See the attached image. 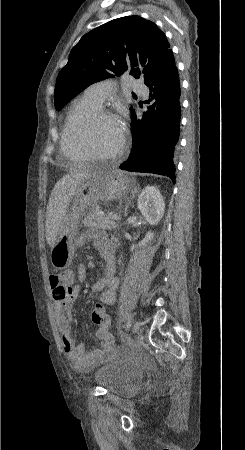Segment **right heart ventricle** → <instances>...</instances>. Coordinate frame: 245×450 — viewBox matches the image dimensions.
Here are the masks:
<instances>
[{
  "mask_svg": "<svg viewBox=\"0 0 245 450\" xmlns=\"http://www.w3.org/2000/svg\"><path fill=\"white\" fill-rule=\"evenodd\" d=\"M101 106L85 94L76 98L68 111L61 134V151L74 161H87L89 157L80 144L79 133L86 119Z\"/></svg>",
  "mask_w": 245,
  "mask_h": 450,
  "instance_id": "1",
  "label": "right heart ventricle"
}]
</instances>
